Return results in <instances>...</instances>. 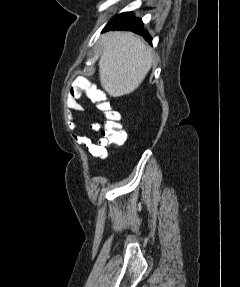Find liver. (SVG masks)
Listing matches in <instances>:
<instances>
[{
  "instance_id": "6515ba94",
  "label": "liver",
  "mask_w": 240,
  "mask_h": 287,
  "mask_svg": "<svg viewBox=\"0 0 240 287\" xmlns=\"http://www.w3.org/2000/svg\"><path fill=\"white\" fill-rule=\"evenodd\" d=\"M99 77L109 96L135 91L153 63L151 49L131 32H109L101 37Z\"/></svg>"
}]
</instances>
